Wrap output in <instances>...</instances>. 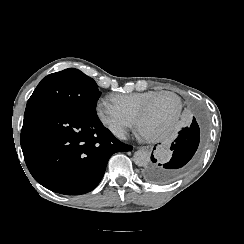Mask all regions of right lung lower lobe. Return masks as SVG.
I'll return each mask as SVG.
<instances>
[{"label": "right lung lower lobe", "mask_w": 244, "mask_h": 244, "mask_svg": "<svg viewBox=\"0 0 244 244\" xmlns=\"http://www.w3.org/2000/svg\"><path fill=\"white\" fill-rule=\"evenodd\" d=\"M21 147L35 180L66 195L93 190L112 154L132 150V146L116 139L97 116L48 104L27 105Z\"/></svg>", "instance_id": "1"}]
</instances>
